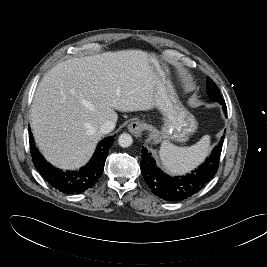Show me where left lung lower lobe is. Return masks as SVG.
<instances>
[{"mask_svg":"<svg viewBox=\"0 0 267 267\" xmlns=\"http://www.w3.org/2000/svg\"><path fill=\"white\" fill-rule=\"evenodd\" d=\"M221 105L224 113H226L227 107L225 102L221 103ZM223 139L224 136L203 165L195 171H192L191 174L179 177H171L163 173L156 167L151 154L147 150L142 149L143 154L140 167L145 182L155 195L164 200L173 202L191 197L200 191L217 172Z\"/></svg>","mask_w":267,"mask_h":267,"instance_id":"left-lung-lower-lobe-1","label":"left lung lower lobe"}]
</instances>
